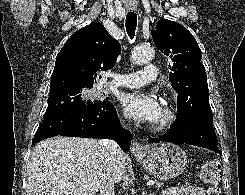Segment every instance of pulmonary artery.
I'll return each instance as SVG.
<instances>
[{
    "label": "pulmonary artery",
    "mask_w": 245,
    "mask_h": 195,
    "mask_svg": "<svg viewBox=\"0 0 245 195\" xmlns=\"http://www.w3.org/2000/svg\"><path fill=\"white\" fill-rule=\"evenodd\" d=\"M155 78L156 67L153 64H149L144 72L114 74L111 83L118 87H139L155 80Z\"/></svg>",
    "instance_id": "1"
}]
</instances>
